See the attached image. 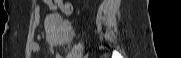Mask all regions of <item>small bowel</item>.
<instances>
[{
  "label": "small bowel",
  "instance_id": "small-bowel-1",
  "mask_svg": "<svg viewBox=\"0 0 181 58\" xmlns=\"http://www.w3.org/2000/svg\"><path fill=\"white\" fill-rule=\"evenodd\" d=\"M50 8L52 9H60L64 14H70L71 13V5L63 0H46L45 1ZM40 9L39 7L36 8V13H39ZM66 41H69V37H67ZM40 45L38 43L32 44V52L38 53L40 51ZM57 58H60V56H57Z\"/></svg>",
  "mask_w": 181,
  "mask_h": 58
}]
</instances>
